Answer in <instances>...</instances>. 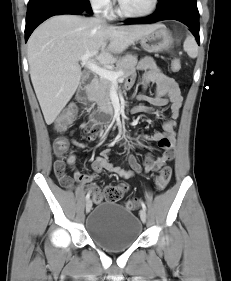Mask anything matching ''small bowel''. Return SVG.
Wrapping results in <instances>:
<instances>
[{
  "label": "small bowel",
  "mask_w": 231,
  "mask_h": 281,
  "mask_svg": "<svg viewBox=\"0 0 231 281\" xmlns=\"http://www.w3.org/2000/svg\"><path fill=\"white\" fill-rule=\"evenodd\" d=\"M139 68L146 71L143 79L144 87H146L149 83H155L157 87L154 95L149 96L141 93L137 96V99L146 100L157 107H164L170 104V117L164 123L163 132H156L152 135L137 136L134 139V145L137 148L144 149L147 141H155L158 143L163 153L157 158H155L151 153H146L142 165L139 163L136 156L131 153L127 158L131 170H126L109 161L110 149L106 148L103 149L100 155L92 161L91 167L93 172L91 174H83L79 172L75 167V156L70 154L66 161L58 159L54 162V172L59 183L64 188L68 190H72L74 188L73 179L66 172V165L71 168L74 179L78 183L86 185L94 181L103 171L116 173L123 178H131L134 175L141 173L143 170L145 172L156 171L167 162L174 159L176 127L183 102L180 88L175 80L167 76L150 57L142 58L139 62ZM132 83L133 79L130 78L128 79L126 86L129 88ZM80 128L85 134L87 141L94 140L102 132L100 126L87 122L83 123ZM74 144L79 148H84L86 146L85 142L74 141Z\"/></svg>",
  "instance_id": "c3829d8e"
}]
</instances>
